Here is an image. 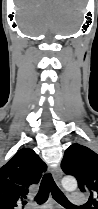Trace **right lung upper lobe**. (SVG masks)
Returning <instances> with one entry per match:
<instances>
[{"instance_id": "1", "label": "right lung upper lobe", "mask_w": 98, "mask_h": 209, "mask_svg": "<svg viewBox=\"0 0 98 209\" xmlns=\"http://www.w3.org/2000/svg\"><path fill=\"white\" fill-rule=\"evenodd\" d=\"M46 169L32 149L19 150L0 168V209H20L30 186L39 182Z\"/></svg>"}]
</instances>
